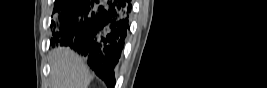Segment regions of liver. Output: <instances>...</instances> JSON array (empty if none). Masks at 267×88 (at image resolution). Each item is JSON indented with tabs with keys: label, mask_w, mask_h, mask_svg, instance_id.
<instances>
[{
	"label": "liver",
	"mask_w": 267,
	"mask_h": 88,
	"mask_svg": "<svg viewBox=\"0 0 267 88\" xmlns=\"http://www.w3.org/2000/svg\"><path fill=\"white\" fill-rule=\"evenodd\" d=\"M51 88H88L92 80L82 58L68 47L49 53Z\"/></svg>",
	"instance_id": "obj_1"
}]
</instances>
